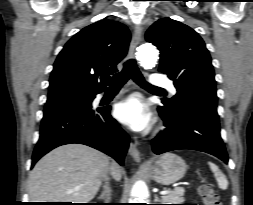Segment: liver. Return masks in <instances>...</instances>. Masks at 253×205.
<instances>
[{"label": "liver", "mask_w": 253, "mask_h": 205, "mask_svg": "<svg viewBox=\"0 0 253 205\" xmlns=\"http://www.w3.org/2000/svg\"><path fill=\"white\" fill-rule=\"evenodd\" d=\"M108 169L115 180L121 179L119 165L110 163L102 152L81 144L60 146L41 158L30 172V200L88 203L97 194Z\"/></svg>", "instance_id": "obj_1"}]
</instances>
